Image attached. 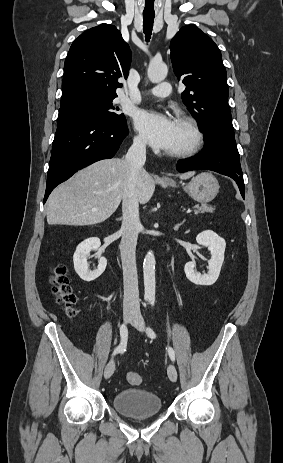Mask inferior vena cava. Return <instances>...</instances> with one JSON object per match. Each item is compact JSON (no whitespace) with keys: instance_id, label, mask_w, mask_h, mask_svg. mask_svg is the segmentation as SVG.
Listing matches in <instances>:
<instances>
[{"instance_id":"obj_1","label":"inferior vena cava","mask_w":283,"mask_h":463,"mask_svg":"<svg viewBox=\"0 0 283 463\" xmlns=\"http://www.w3.org/2000/svg\"><path fill=\"white\" fill-rule=\"evenodd\" d=\"M125 161L129 167L130 176L123 194L122 202V239L120 244L124 299L123 308L125 311L139 310L138 276L136 268V244L139 220L138 189L142 182L143 165L146 161V141L142 138H135L129 148Z\"/></svg>"}]
</instances>
